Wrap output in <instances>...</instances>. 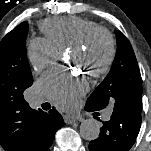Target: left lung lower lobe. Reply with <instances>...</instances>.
I'll return each instance as SVG.
<instances>
[{"label": "left lung lower lobe", "instance_id": "left-lung-lower-lobe-1", "mask_svg": "<svg viewBox=\"0 0 151 151\" xmlns=\"http://www.w3.org/2000/svg\"><path fill=\"white\" fill-rule=\"evenodd\" d=\"M137 101H142V93H138ZM87 111H96L86 104ZM141 124V114L130 116L114 113L111 119L103 122L100 135L89 144V151H128L135 142Z\"/></svg>", "mask_w": 151, "mask_h": 151}]
</instances>
